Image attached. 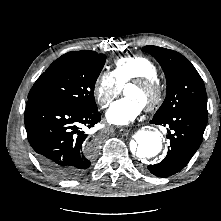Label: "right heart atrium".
Listing matches in <instances>:
<instances>
[{
    "instance_id": "1",
    "label": "right heart atrium",
    "mask_w": 221,
    "mask_h": 221,
    "mask_svg": "<svg viewBox=\"0 0 221 221\" xmlns=\"http://www.w3.org/2000/svg\"><path fill=\"white\" fill-rule=\"evenodd\" d=\"M94 97L97 104L105 108L121 92V85L109 72H102L94 84Z\"/></svg>"
}]
</instances>
